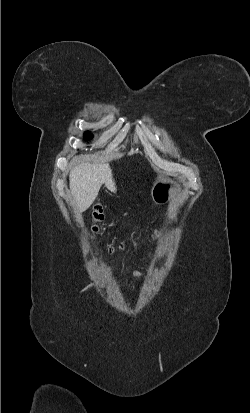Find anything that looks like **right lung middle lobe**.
Masks as SVG:
<instances>
[{"mask_svg":"<svg viewBox=\"0 0 250 413\" xmlns=\"http://www.w3.org/2000/svg\"><path fill=\"white\" fill-rule=\"evenodd\" d=\"M89 134H90L89 132H86V133H85V138L91 139L92 136H90Z\"/></svg>","mask_w":250,"mask_h":413,"instance_id":"obj_1","label":"right lung middle lobe"}]
</instances>
